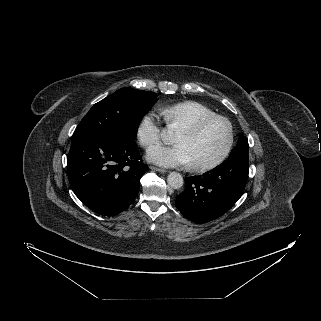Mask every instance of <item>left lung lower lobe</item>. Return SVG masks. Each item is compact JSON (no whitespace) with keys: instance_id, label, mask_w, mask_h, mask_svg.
Segmentation results:
<instances>
[{"instance_id":"0a47b994","label":"left lung lower lobe","mask_w":321,"mask_h":321,"mask_svg":"<svg viewBox=\"0 0 321 321\" xmlns=\"http://www.w3.org/2000/svg\"><path fill=\"white\" fill-rule=\"evenodd\" d=\"M249 173V157L232 156L202 176L189 177L175 205L187 219L206 223L222 216L241 197Z\"/></svg>"}]
</instances>
